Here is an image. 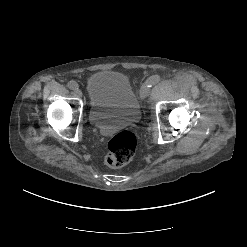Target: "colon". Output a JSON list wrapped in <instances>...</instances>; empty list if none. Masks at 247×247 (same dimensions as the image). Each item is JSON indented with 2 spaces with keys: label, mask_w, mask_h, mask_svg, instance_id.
<instances>
[{
  "label": "colon",
  "mask_w": 247,
  "mask_h": 247,
  "mask_svg": "<svg viewBox=\"0 0 247 247\" xmlns=\"http://www.w3.org/2000/svg\"><path fill=\"white\" fill-rule=\"evenodd\" d=\"M137 148L136 135L129 131H121L112 136L107 143L105 164L111 168H120L132 161Z\"/></svg>",
  "instance_id": "obj_1"
}]
</instances>
